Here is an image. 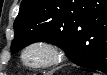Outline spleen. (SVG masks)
Listing matches in <instances>:
<instances>
[{"label": "spleen", "instance_id": "1", "mask_svg": "<svg viewBox=\"0 0 107 75\" xmlns=\"http://www.w3.org/2000/svg\"><path fill=\"white\" fill-rule=\"evenodd\" d=\"M94 75H99L98 73H94Z\"/></svg>", "mask_w": 107, "mask_h": 75}]
</instances>
